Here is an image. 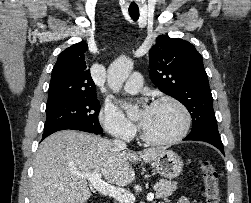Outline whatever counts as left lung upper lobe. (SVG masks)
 <instances>
[{
    "mask_svg": "<svg viewBox=\"0 0 251 203\" xmlns=\"http://www.w3.org/2000/svg\"><path fill=\"white\" fill-rule=\"evenodd\" d=\"M149 68L150 78L159 90L190 112L193 125L189 135L220 136L203 59L191 43L158 36L149 51Z\"/></svg>",
    "mask_w": 251,
    "mask_h": 203,
    "instance_id": "left-lung-upper-lobe-1",
    "label": "left lung upper lobe"
}]
</instances>
